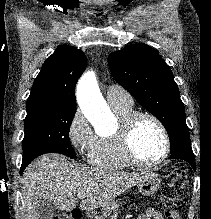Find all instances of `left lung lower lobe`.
Instances as JSON below:
<instances>
[{"label": "left lung lower lobe", "mask_w": 211, "mask_h": 219, "mask_svg": "<svg viewBox=\"0 0 211 219\" xmlns=\"http://www.w3.org/2000/svg\"><path fill=\"white\" fill-rule=\"evenodd\" d=\"M170 159H180L191 164L195 169V156L192 151L191 144H183L171 153Z\"/></svg>", "instance_id": "obj_1"}]
</instances>
